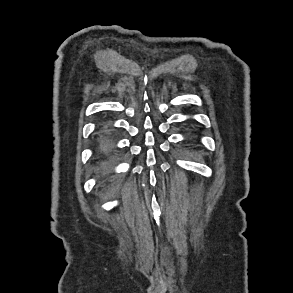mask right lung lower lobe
I'll return each instance as SVG.
<instances>
[{"label": "right lung lower lobe", "mask_w": 293, "mask_h": 293, "mask_svg": "<svg viewBox=\"0 0 293 293\" xmlns=\"http://www.w3.org/2000/svg\"><path fill=\"white\" fill-rule=\"evenodd\" d=\"M101 140H100V145L103 149L105 150H109L112 147V136H113V131L111 126H109L108 124H104L101 129Z\"/></svg>", "instance_id": "obj_1"}]
</instances>
